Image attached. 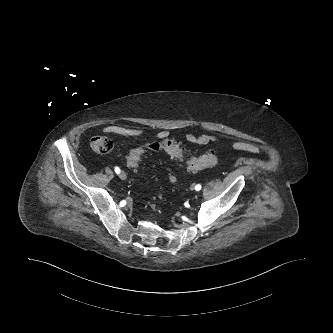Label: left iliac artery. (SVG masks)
Masks as SVG:
<instances>
[{
    "label": "left iliac artery",
    "mask_w": 333,
    "mask_h": 333,
    "mask_svg": "<svg viewBox=\"0 0 333 333\" xmlns=\"http://www.w3.org/2000/svg\"><path fill=\"white\" fill-rule=\"evenodd\" d=\"M201 188H202V186H201L200 184H197V185L195 186V190H196V191L201 190Z\"/></svg>",
    "instance_id": "1"
}]
</instances>
